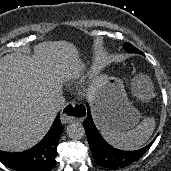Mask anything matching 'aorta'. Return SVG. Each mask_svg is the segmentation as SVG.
<instances>
[{
	"label": "aorta",
	"mask_w": 171,
	"mask_h": 171,
	"mask_svg": "<svg viewBox=\"0 0 171 171\" xmlns=\"http://www.w3.org/2000/svg\"><path fill=\"white\" fill-rule=\"evenodd\" d=\"M66 133L69 138L78 140L85 136V129L81 123L72 122L67 126Z\"/></svg>",
	"instance_id": "aorta-1"
}]
</instances>
